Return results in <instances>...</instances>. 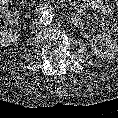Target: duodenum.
<instances>
[{
  "instance_id": "duodenum-1",
  "label": "duodenum",
  "mask_w": 118,
  "mask_h": 118,
  "mask_svg": "<svg viewBox=\"0 0 118 118\" xmlns=\"http://www.w3.org/2000/svg\"><path fill=\"white\" fill-rule=\"evenodd\" d=\"M36 11L38 13H45L56 10L55 6L47 2L39 1L36 2ZM71 22L75 27H81L83 25V20L80 16H73Z\"/></svg>"
}]
</instances>
